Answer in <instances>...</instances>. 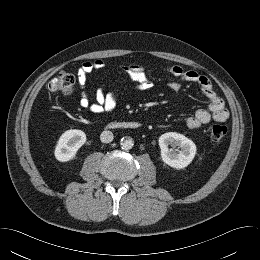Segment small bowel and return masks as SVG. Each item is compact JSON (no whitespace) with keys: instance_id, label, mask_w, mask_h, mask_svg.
<instances>
[{"instance_id":"1","label":"small bowel","mask_w":260,"mask_h":260,"mask_svg":"<svg viewBox=\"0 0 260 260\" xmlns=\"http://www.w3.org/2000/svg\"><path fill=\"white\" fill-rule=\"evenodd\" d=\"M105 66L102 60L86 61L82 63L76 72L77 81L81 88L80 106L88 109L94 115L110 113L117 104V94L114 92H105L98 89L93 103L90 102L85 92L88 75L94 71L103 70ZM121 70L134 82L139 92H146L151 88V81L143 65H124ZM167 71L177 79L168 83V88L171 91H179L183 82L195 83L200 86L204 95L209 99L208 109H198L192 116L187 118L186 124L189 129H197L212 119L217 122H224L228 119L229 113L224 100L218 96L211 81L206 76L193 70H185L179 65H169Z\"/></svg>"}]
</instances>
